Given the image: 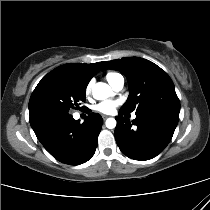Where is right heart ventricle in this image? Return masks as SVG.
Segmentation results:
<instances>
[{"mask_svg": "<svg viewBox=\"0 0 210 210\" xmlns=\"http://www.w3.org/2000/svg\"><path fill=\"white\" fill-rule=\"evenodd\" d=\"M119 76H121V75L116 72H109L106 74V79L110 84H112L114 82V80L116 78H118Z\"/></svg>", "mask_w": 210, "mask_h": 210, "instance_id": "obj_1", "label": "right heart ventricle"}]
</instances>
